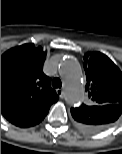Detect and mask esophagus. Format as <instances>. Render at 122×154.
I'll return each mask as SVG.
<instances>
[{
	"instance_id": "1",
	"label": "esophagus",
	"mask_w": 122,
	"mask_h": 154,
	"mask_svg": "<svg viewBox=\"0 0 122 154\" xmlns=\"http://www.w3.org/2000/svg\"><path fill=\"white\" fill-rule=\"evenodd\" d=\"M56 93L58 94V96H59L60 98H63V97H64V92H63L62 89H57V90H56Z\"/></svg>"
}]
</instances>
